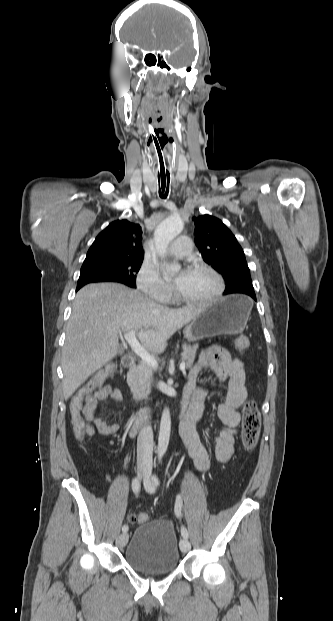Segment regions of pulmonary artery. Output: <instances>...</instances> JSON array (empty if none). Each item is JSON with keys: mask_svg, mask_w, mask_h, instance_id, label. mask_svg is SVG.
<instances>
[{"mask_svg": "<svg viewBox=\"0 0 333 621\" xmlns=\"http://www.w3.org/2000/svg\"><path fill=\"white\" fill-rule=\"evenodd\" d=\"M191 240L187 236L178 237L168 248V253L172 256L183 258L191 254Z\"/></svg>", "mask_w": 333, "mask_h": 621, "instance_id": "e3ab8cb5", "label": "pulmonary artery"}]
</instances>
